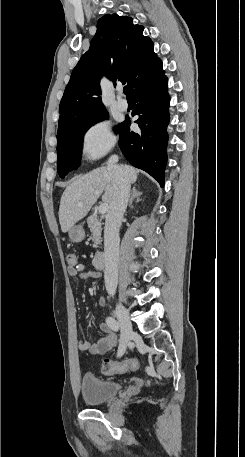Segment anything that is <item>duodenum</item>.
I'll list each match as a JSON object with an SVG mask.
<instances>
[{
	"label": "duodenum",
	"instance_id": "duodenum-1",
	"mask_svg": "<svg viewBox=\"0 0 245 457\" xmlns=\"http://www.w3.org/2000/svg\"><path fill=\"white\" fill-rule=\"evenodd\" d=\"M93 264L95 268L102 269L106 264V255L103 252H98L94 256Z\"/></svg>",
	"mask_w": 245,
	"mask_h": 457
}]
</instances>
